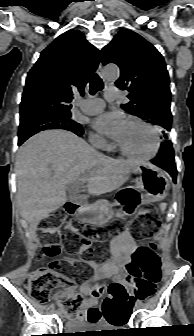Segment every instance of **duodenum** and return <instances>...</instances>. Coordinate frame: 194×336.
Instances as JSON below:
<instances>
[{
    "instance_id": "duodenum-1",
    "label": "duodenum",
    "mask_w": 194,
    "mask_h": 336,
    "mask_svg": "<svg viewBox=\"0 0 194 336\" xmlns=\"http://www.w3.org/2000/svg\"><path fill=\"white\" fill-rule=\"evenodd\" d=\"M66 208L69 212L74 213V212L80 210V205L79 204H74V203H68Z\"/></svg>"
}]
</instances>
